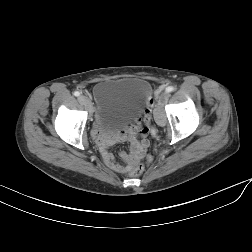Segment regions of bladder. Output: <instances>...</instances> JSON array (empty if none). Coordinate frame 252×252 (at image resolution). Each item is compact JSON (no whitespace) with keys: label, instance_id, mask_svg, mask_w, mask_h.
Here are the masks:
<instances>
[{"label":"bladder","instance_id":"obj_1","mask_svg":"<svg viewBox=\"0 0 252 252\" xmlns=\"http://www.w3.org/2000/svg\"><path fill=\"white\" fill-rule=\"evenodd\" d=\"M97 104L96 123L106 134L135 118L148 98V86L137 78L110 79L98 83L94 89Z\"/></svg>","mask_w":252,"mask_h":252}]
</instances>
